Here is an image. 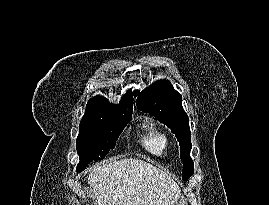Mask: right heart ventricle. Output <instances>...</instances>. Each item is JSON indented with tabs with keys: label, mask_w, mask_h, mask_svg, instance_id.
I'll list each match as a JSON object with an SVG mask.
<instances>
[{
	"label": "right heart ventricle",
	"mask_w": 269,
	"mask_h": 205,
	"mask_svg": "<svg viewBox=\"0 0 269 205\" xmlns=\"http://www.w3.org/2000/svg\"><path fill=\"white\" fill-rule=\"evenodd\" d=\"M142 147L156 157H164L170 146L169 137L162 131L146 123V131L141 137Z\"/></svg>",
	"instance_id": "right-heart-ventricle-1"
}]
</instances>
